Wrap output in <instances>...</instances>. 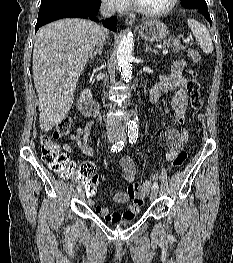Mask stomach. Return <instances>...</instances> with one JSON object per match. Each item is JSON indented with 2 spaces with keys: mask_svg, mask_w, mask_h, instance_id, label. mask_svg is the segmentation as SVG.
<instances>
[{
  "mask_svg": "<svg viewBox=\"0 0 233 263\" xmlns=\"http://www.w3.org/2000/svg\"><path fill=\"white\" fill-rule=\"evenodd\" d=\"M167 26L159 20L144 22L139 29V35L146 41L159 42L166 38Z\"/></svg>",
  "mask_w": 233,
  "mask_h": 263,
  "instance_id": "stomach-1",
  "label": "stomach"
}]
</instances>
